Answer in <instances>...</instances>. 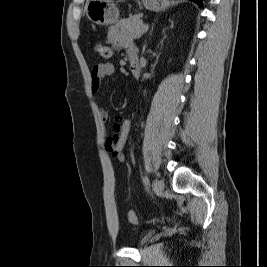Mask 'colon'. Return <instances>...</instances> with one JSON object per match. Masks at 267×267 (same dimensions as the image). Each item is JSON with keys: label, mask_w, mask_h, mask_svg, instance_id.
Listing matches in <instances>:
<instances>
[{"label": "colon", "mask_w": 267, "mask_h": 267, "mask_svg": "<svg viewBox=\"0 0 267 267\" xmlns=\"http://www.w3.org/2000/svg\"><path fill=\"white\" fill-rule=\"evenodd\" d=\"M96 52L99 57L103 59H110L113 55V50L110 46L102 43H98L96 45ZM127 218L130 223L132 224H138L139 218L137 213L134 210H129L127 213Z\"/></svg>", "instance_id": "1"}]
</instances>
